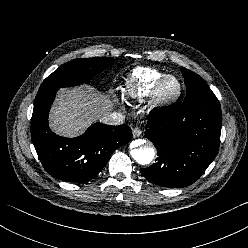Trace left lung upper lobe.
<instances>
[{"mask_svg": "<svg viewBox=\"0 0 248 248\" xmlns=\"http://www.w3.org/2000/svg\"><path fill=\"white\" fill-rule=\"evenodd\" d=\"M181 72L187 85L184 102L195 101L204 96H214V93L199 75L183 67H181Z\"/></svg>", "mask_w": 248, "mask_h": 248, "instance_id": "1", "label": "left lung upper lobe"}]
</instances>
